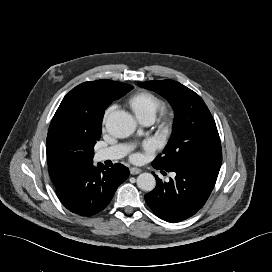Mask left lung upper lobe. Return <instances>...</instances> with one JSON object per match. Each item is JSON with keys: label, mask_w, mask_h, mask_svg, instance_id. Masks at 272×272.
<instances>
[{"label": "left lung upper lobe", "mask_w": 272, "mask_h": 272, "mask_svg": "<svg viewBox=\"0 0 272 272\" xmlns=\"http://www.w3.org/2000/svg\"><path fill=\"white\" fill-rule=\"evenodd\" d=\"M165 97L175 111L173 132L153 163L163 169L189 165L221 167L222 150L215 121L194 91L172 80L139 83Z\"/></svg>", "instance_id": "left-lung-upper-lobe-1"}]
</instances>
